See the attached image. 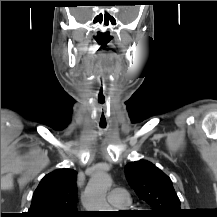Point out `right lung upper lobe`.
<instances>
[{"label": "right lung upper lobe", "mask_w": 217, "mask_h": 217, "mask_svg": "<svg viewBox=\"0 0 217 217\" xmlns=\"http://www.w3.org/2000/svg\"><path fill=\"white\" fill-rule=\"evenodd\" d=\"M77 172L58 169L46 175L35 190L27 217L79 215L76 206Z\"/></svg>", "instance_id": "cb5924a9"}]
</instances>
